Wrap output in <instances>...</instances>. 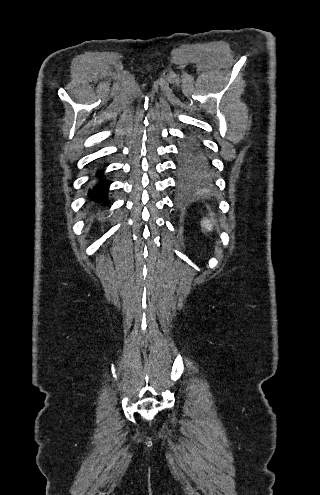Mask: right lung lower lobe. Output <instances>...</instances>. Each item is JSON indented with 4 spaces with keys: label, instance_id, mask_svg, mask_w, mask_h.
I'll use <instances>...</instances> for the list:
<instances>
[{
    "label": "right lung lower lobe",
    "instance_id": "98d812e1",
    "mask_svg": "<svg viewBox=\"0 0 320 495\" xmlns=\"http://www.w3.org/2000/svg\"><path fill=\"white\" fill-rule=\"evenodd\" d=\"M104 167H99L95 173V180H97L96 184L92 189L89 190L88 196L90 200H94L96 202H105L107 200L109 183L103 180L104 176Z\"/></svg>",
    "mask_w": 320,
    "mask_h": 495
}]
</instances>
